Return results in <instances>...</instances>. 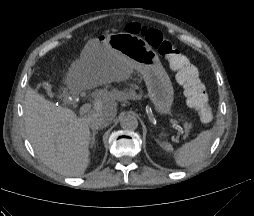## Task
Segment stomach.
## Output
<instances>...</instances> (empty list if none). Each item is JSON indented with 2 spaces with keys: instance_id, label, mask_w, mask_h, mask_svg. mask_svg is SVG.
I'll list each match as a JSON object with an SVG mask.
<instances>
[{
  "instance_id": "0dacf381",
  "label": "stomach",
  "mask_w": 254,
  "mask_h": 216,
  "mask_svg": "<svg viewBox=\"0 0 254 216\" xmlns=\"http://www.w3.org/2000/svg\"><path fill=\"white\" fill-rule=\"evenodd\" d=\"M114 55L122 56L132 70L142 75L155 110L164 117L171 115L174 102L172 82L157 53L141 37L120 33L94 39L86 46L85 54L75 62V66H104Z\"/></svg>"
}]
</instances>
